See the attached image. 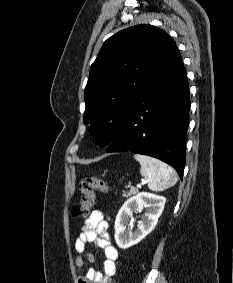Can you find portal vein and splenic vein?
Segmentation results:
<instances>
[{
	"mask_svg": "<svg viewBox=\"0 0 233 283\" xmlns=\"http://www.w3.org/2000/svg\"><path fill=\"white\" fill-rule=\"evenodd\" d=\"M146 183H148L147 180H142V183L137 184V188H141V186L144 185V184H146Z\"/></svg>",
	"mask_w": 233,
	"mask_h": 283,
	"instance_id": "portal-vein-and-splenic-vein-1",
	"label": "portal vein and splenic vein"
}]
</instances>
